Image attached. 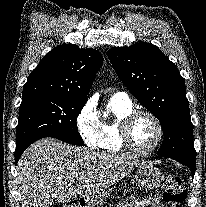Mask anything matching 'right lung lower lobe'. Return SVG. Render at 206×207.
I'll list each match as a JSON object with an SVG mask.
<instances>
[{"label": "right lung lower lobe", "mask_w": 206, "mask_h": 207, "mask_svg": "<svg viewBox=\"0 0 206 207\" xmlns=\"http://www.w3.org/2000/svg\"><path fill=\"white\" fill-rule=\"evenodd\" d=\"M25 149H19V150H15L14 156H15V164H17L20 156L22 155V153L24 152Z\"/></svg>", "instance_id": "98d812e1"}]
</instances>
